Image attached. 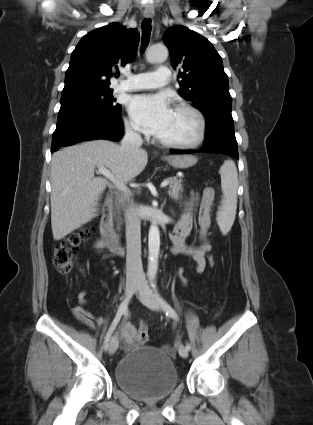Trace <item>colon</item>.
<instances>
[{
  "instance_id": "colon-1",
  "label": "colon",
  "mask_w": 313,
  "mask_h": 425,
  "mask_svg": "<svg viewBox=\"0 0 313 425\" xmlns=\"http://www.w3.org/2000/svg\"><path fill=\"white\" fill-rule=\"evenodd\" d=\"M93 228H83L63 238L53 250V263L58 272L62 274L68 273L74 264L76 253L80 246L86 242L92 235ZM209 266H214L215 257H208ZM190 282L188 273L185 269L180 268L176 272V284L179 288L188 286ZM149 338L148 327L143 324L138 331L137 340L141 344L147 343Z\"/></svg>"
}]
</instances>
